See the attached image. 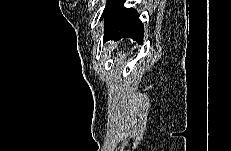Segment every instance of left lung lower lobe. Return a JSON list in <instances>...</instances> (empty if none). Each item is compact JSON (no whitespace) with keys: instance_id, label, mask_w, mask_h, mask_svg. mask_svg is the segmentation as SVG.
Listing matches in <instances>:
<instances>
[{"instance_id":"0a47b994","label":"left lung lower lobe","mask_w":231,"mask_h":151,"mask_svg":"<svg viewBox=\"0 0 231 151\" xmlns=\"http://www.w3.org/2000/svg\"><path fill=\"white\" fill-rule=\"evenodd\" d=\"M125 0H110L105 8L102 19H104L105 31L104 41H117L121 38H132L142 43L144 27L139 15L133 8H125ZM101 19V20H102Z\"/></svg>"}]
</instances>
